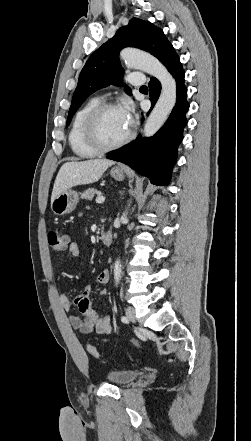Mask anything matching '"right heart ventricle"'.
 <instances>
[{
  "mask_svg": "<svg viewBox=\"0 0 251 441\" xmlns=\"http://www.w3.org/2000/svg\"><path fill=\"white\" fill-rule=\"evenodd\" d=\"M101 103L98 97L86 101L75 113L69 130L68 140L73 153L82 159L93 158L99 154L91 148L84 137V123L89 112Z\"/></svg>",
  "mask_w": 251,
  "mask_h": 441,
  "instance_id": "e07e8e85",
  "label": "right heart ventricle"
}]
</instances>
